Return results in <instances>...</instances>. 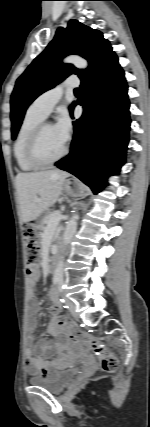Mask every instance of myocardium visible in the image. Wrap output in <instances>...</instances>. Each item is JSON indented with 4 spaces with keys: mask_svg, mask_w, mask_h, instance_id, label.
Segmentation results:
<instances>
[{
    "mask_svg": "<svg viewBox=\"0 0 150 427\" xmlns=\"http://www.w3.org/2000/svg\"><path fill=\"white\" fill-rule=\"evenodd\" d=\"M51 123L48 122H41L40 124H38L35 129L33 130L32 134L29 137L28 140V144H27V150H26V156L28 161L35 167L37 168H46L49 166L54 165L55 163L59 162L61 159H63L68 151V145H65V148L63 149V151L55 158L51 159V160H42L39 155H38V146H39V141L41 138V135L44 131V129L48 126H51Z\"/></svg>",
    "mask_w": 150,
    "mask_h": 427,
    "instance_id": "myocardium-1",
    "label": "myocardium"
}]
</instances>
